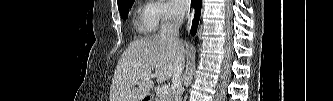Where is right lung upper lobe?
Instances as JSON below:
<instances>
[{
  "instance_id": "1",
  "label": "right lung upper lobe",
  "mask_w": 333,
  "mask_h": 101,
  "mask_svg": "<svg viewBox=\"0 0 333 101\" xmlns=\"http://www.w3.org/2000/svg\"><path fill=\"white\" fill-rule=\"evenodd\" d=\"M122 1H124V0H117L118 4L121 3Z\"/></svg>"
}]
</instances>
